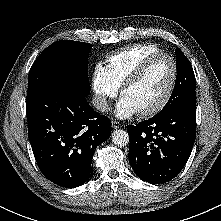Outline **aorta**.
Here are the masks:
<instances>
[{
    "label": "aorta",
    "mask_w": 221,
    "mask_h": 221,
    "mask_svg": "<svg viewBox=\"0 0 221 221\" xmlns=\"http://www.w3.org/2000/svg\"><path fill=\"white\" fill-rule=\"evenodd\" d=\"M111 137L112 142L120 147L126 146L129 143V135L122 129L115 130Z\"/></svg>",
    "instance_id": "762f6f07"
}]
</instances>
